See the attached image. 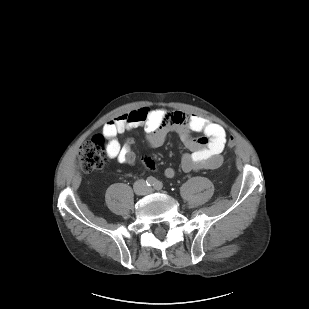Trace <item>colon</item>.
I'll return each instance as SVG.
<instances>
[{"mask_svg": "<svg viewBox=\"0 0 309 309\" xmlns=\"http://www.w3.org/2000/svg\"><path fill=\"white\" fill-rule=\"evenodd\" d=\"M235 144L236 140L231 136L228 145L233 147ZM107 163L108 155L104 136L96 135L80 147L77 164L81 171L91 173L102 169Z\"/></svg>", "mask_w": 309, "mask_h": 309, "instance_id": "5ec220e1", "label": "colon"}]
</instances>
